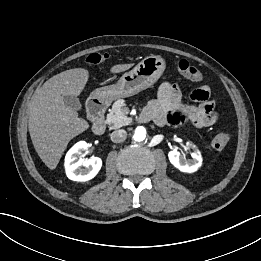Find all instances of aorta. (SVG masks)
Wrapping results in <instances>:
<instances>
[{
	"instance_id": "1",
	"label": "aorta",
	"mask_w": 261,
	"mask_h": 261,
	"mask_svg": "<svg viewBox=\"0 0 261 261\" xmlns=\"http://www.w3.org/2000/svg\"><path fill=\"white\" fill-rule=\"evenodd\" d=\"M133 139L136 142H142L146 139V130L143 127H137L134 130Z\"/></svg>"
}]
</instances>
